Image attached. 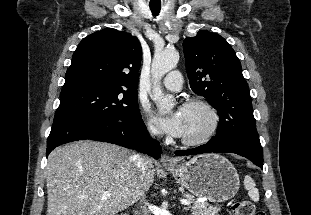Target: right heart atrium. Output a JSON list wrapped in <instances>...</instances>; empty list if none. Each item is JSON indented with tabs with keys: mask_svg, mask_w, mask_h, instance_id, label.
<instances>
[{
	"mask_svg": "<svg viewBox=\"0 0 311 215\" xmlns=\"http://www.w3.org/2000/svg\"><path fill=\"white\" fill-rule=\"evenodd\" d=\"M145 113V128L149 135L158 136L160 134V129L156 123V121L149 115L148 111L144 109Z\"/></svg>",
	"mask_w": 311,
	"mask_h": 215,
	"instance_id": "d8ad5b80",
	"label": "right heart atrium"
}]
</instances>
